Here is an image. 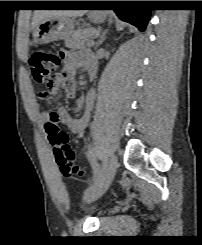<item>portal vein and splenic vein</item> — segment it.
<instances>
[{
	"label": "portal vein and splenic vein",
	"mask_w": 202,
	"mask_h": 245,
	"mask_svg": "<svg viewBox=\"0 0 202 245\" xmlns=\"http://www.w3.org/2000/svg\"><path fill=\"white\" fill-rule=\"evenodd\" d=\"M90 45H94V41H92Z\"/></svg>",
	"instance_id": "portal-vein-and-splenic-vein-1"
}]
</instances>
